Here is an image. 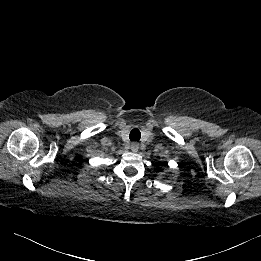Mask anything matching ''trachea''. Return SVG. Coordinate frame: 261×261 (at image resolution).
<instances>
[{"instance_id": "3493384b", "label": "trachea", "mask_w": 261, "mask_h": 261, "mask_svg": "<svg viewBox=\"0 0 261 261\" xmlns=\"http://www.w3.org/2000/svg\"><path fill=\"white\" fill-rule=\"evenodd\" d=\"M129 138L131 141H139L141 138V133L137 128H134L130 134H129Z\"/></svg>"}]
</instances>
